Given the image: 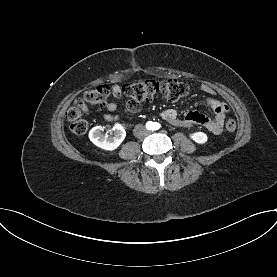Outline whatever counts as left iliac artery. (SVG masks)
<instances>
[{
    "label": "left iliac artery",
    "instance_id": "left-iliac-artery-1",
    "mask_svg": "<svg viewBox=\"0 0 277 277\" xmlns=\"http://www.w3.org/2000/svg\"><path fill=\"white\" fill-rule=\"evenodd\" d=\"M161 127V125L159 124V123H154V126H153V129L154 130H157V129H159Z\"/></svg>",
    "mask_w": 277,
    "mask_h": 277
}]
</instances>
